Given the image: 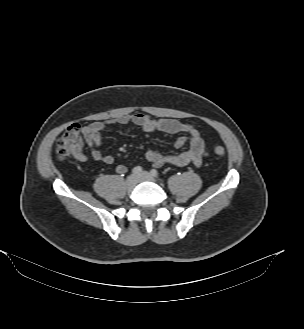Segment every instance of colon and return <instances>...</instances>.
Returning <instances> with one entry per match:
<instances>
[{
  "mask_svg": "<svg viewBox=\"0 0 304 329\" xmlns=\"http://www.w3.org/2000/svg\"><path fill=\"white\" fill-rule=\"evenodd\" d=\"M84 132L78 124L70 125L59 137L56 145V157L63 161L80 155L84 146ZM216 156L222 157L226 150L223 146L217 145L213 149Z\"/></svg>",
  "mask_w": 304,
  "mask_h": 329,
  "instance_id": "5ec220e1",
  "label": "colon"
}]
</instances>
